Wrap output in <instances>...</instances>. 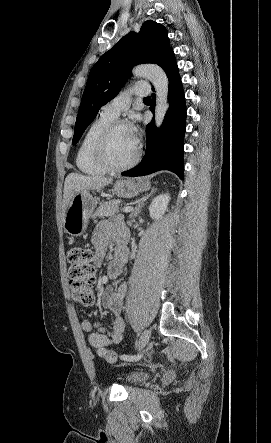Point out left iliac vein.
<instances>
[{
  "label": "left iliac vein",
  "mask_w": 271,
  "mask_h": 443,
  "mask_svg": "<svg viewBox=\"0 0 271 443\" xmlns=\"http://www.w3.org/2000/svg\"><path fill=\"white\" fill-rule=\"evenodd\" d=\"M150 336H151V332H150L149 329H146V330L142 333V335H141V337H140L139 344H138V346H137V348H138L139 350L142 349V348H144V347L147 345V343L149 342Z\"/></svg>",
  "instance_id": "left-iliac-vein-1"
}]
</instances>
